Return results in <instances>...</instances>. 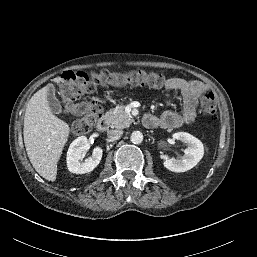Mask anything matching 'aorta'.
I'll return each instance as SVG.
<instances>
[{"label": "aorta", "instance_id": "obj_1", "mask_svg": "<svg viewBox=\"0 0 257 257\" xmlns=\"http://www.w3.org/2000/svg\"><path fill=\"white\" fill-rule=\"evenodd\" d=\"M131 142L134 144H140L143 141V134L140 131H134L131 134Z\"/></svg>", "mask_w": 257, "mask_h": 257}]
</instances>
